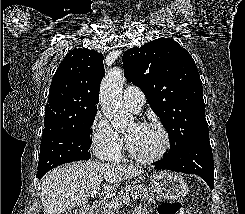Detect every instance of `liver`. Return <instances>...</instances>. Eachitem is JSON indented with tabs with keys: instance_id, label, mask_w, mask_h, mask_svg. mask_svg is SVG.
Wrapping results in <instances>:
<instances>
[{
	"instance_id": "obj_1",
	"label": "liver",
	"mask_w": 245,
	"mask_h": 214,
	"mask_svg": "<svg viewBox=\"0 0 245 214\" xmlns=\"http://www.w3.org/2000/svg\"><path fill=\"white\" fill-rule=\"evenodd\" d=\"M143 170L116 163L96 161L65 164L46 173L41 183L44 214H61L88 202L89 192L103 184L105 193L116 192L120 182L137 176Z\"/></svg>"
}]
</instances>
